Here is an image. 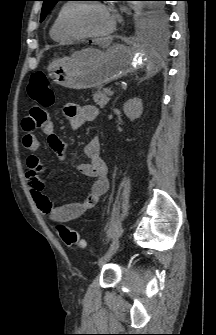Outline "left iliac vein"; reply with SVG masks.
<instances>
[{
    "mask_svg": "<svg viewBox=\"0 0 216 335\" xmlns=\"http://www.w3.org/2000/svg\"><path fill=\"white\" fill-rule=\"evenodd\" d=\"M113 253H107L104 254L98 261L99 266L104 265L105 263H107L108 261H110V259L112 258Z\"/></svg>",
    "mask_w": 216,
    "mask_h": 335,
    "instance_id": "1",
    "label": "left iliac vein"
}]
</instances>
